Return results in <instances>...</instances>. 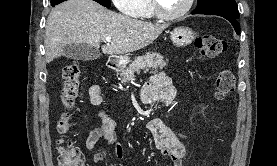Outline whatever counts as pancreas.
<instances>
[{
  "mask_svg": "<svg viewBox=\"0 0 277 166\" xmlns=\"http://www.w3.org/2000/svg\"><path fill=\"white\" fill-rule=\"evenodd\" d=\"M166 66V61L159 53H146L143 56L137 57L126 69L121 70L120 77L121 82L126 84L127 82L135 78V72L140 73V70L144 72H157L162 70Z\"/></svg>",
  "mask_w": 277,
  "mask_h": 166,
  "instance_id": "1",
  "label": "pancreas"
}]
</instances>
